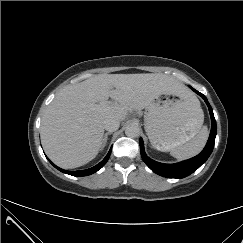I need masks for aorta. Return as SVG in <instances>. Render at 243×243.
<instances>
[{
  "mask_svg": "<svg viewBox=\"0 0 243 243\" xmlns=\"http://www.w3.org/2000/svg\"><path fill=\"white\" fill-rule=\"evenodd\" d=\"M125 134L128 136V137H131V138H136L139 136L140 134V128L135 125V124H130L126 127L125 129Z\"/></svg>",
  "mask_w": 243,
  "mask_h": 243,
  "instance_id": "obj_1",
  "label": "aorta"
}]
</instances>
